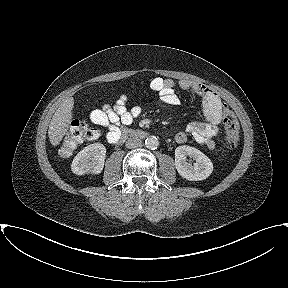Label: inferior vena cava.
I'll list each match as a JSON object with an SVG mask.
<instances>
[{
	"label": "inferior vena cava",
	"mask_w": 288,
	"mask_h": 288,
	"mask_svg": "<svg viewBox=\"0 0 288 288\" xmlns=\"http://www.w3.org/2000/svg\"><path fill=\"white\" fill-rule=\"evenodd\" d=\"M141 145H142V141H141V139H139L137 137L129 138L125 144V146L128 149L137 148V147H140Z\"/></svg>",
	"instance_id": "inferior-vena-cava-1"
}]
</instances>
